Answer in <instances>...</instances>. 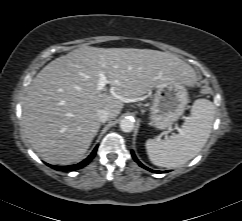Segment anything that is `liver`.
<instances>
[{
	"instance_id": "obj_1",
	"label": "liver",
	"mask_w": 242,
	"mask_h": 221,
	"mask_svg": "<svg viewBox=\"0 0 242 221\" xmlns=\"http://www.w3.org/2000/svg\"><path fill=\"white\" fill-rule=\"evenodd\" d=\"M110 81L98 91L99 73ZM193 85L194 69L176 55L151 49L81 47L47 64L31 82L23 102L25 137L46 162H79L96 136L98 110L116 118L124 101L159 83Z\"/></svg>"
}]
</instances>
